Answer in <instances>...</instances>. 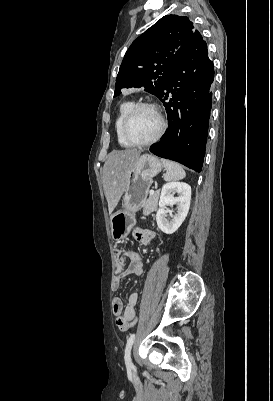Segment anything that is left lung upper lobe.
I'll return each mask as SVG.
<instances>
[{"label":"left lung upper lobe","mask_w":273,"mask_h":401,"mask_svg":"<svg viewBox=\"0 0 273 401\" xmlns=\"http://www.w3.org/2000/svg\"><path fill=\"white\" fill-rule=\"evenodd\" d=\"M201 34L186 16L167 15L133 41L116 78L114 97L122 88L141 87L160 97L174 68Z\"/></svg>","instance_id":"5c2ea615"}]
</instances>
